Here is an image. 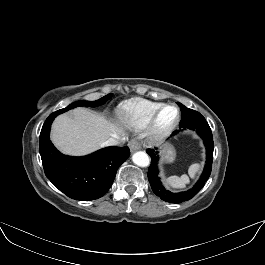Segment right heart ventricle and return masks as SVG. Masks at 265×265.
Listing matches in <instances>:
<instances>
[{"instance_id":"obj_1","label":"right heart ventricle","mask_w":265,"mask_h":265,"mask_svg":"<svg viewBox=\"0 0 265 265\" xmlns=\"http://www.w3.org/2000/svg\"><path fill=\"white\" fill-rule=\"evenodd\" d=\"M163 103L135 98L124 102L119 107V116L122 121L135 129H141L147 125L155 111Z\"/></svg>"}]
</instances>
